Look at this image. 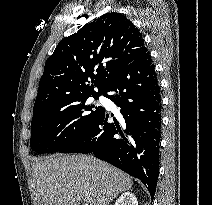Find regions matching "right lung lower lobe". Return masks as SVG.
<instances>
[{
    "label": "right lung lower lobe",
    "instance_id": "right-lung-lower-lobe-1",
    "mask_svg": "<svg viewBox=\"0 0 212 205\" xmlns=\"http://www.w3.org/2000/svg\"><path fill=\"white\" fill-rule=\"evenodd\" d=\"M103 95L120 107L123 120L109 123V114L103 109L85 132L58 152L93 153L140 179L153 199L159 173L162 105L149 51L123 68Z\"/></svg>",
    "mask_w": 212,
    "mask_h": 205
}]
</instances>
